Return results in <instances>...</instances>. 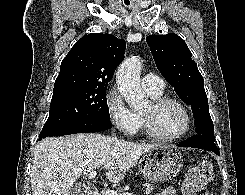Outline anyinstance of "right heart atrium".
Segmentation results:
<instances>
[{"instance_id": "right-heart-atrium-1", "label": "right heart atrium", "mask_w": 245, "mask_h": 195, "mask_svg": "<svg viewBox=\"0 0 245 195\" xmlns=\"http://www.w3.org/2000/svg\"><path fill=\"white\" fill-rule=\"evenodd\" d=\"M105 107L113 128L123 135H131L137 129L136 114L131 111L121 94L114 88L106 92Z\"/></svg>"}]
</instances>
